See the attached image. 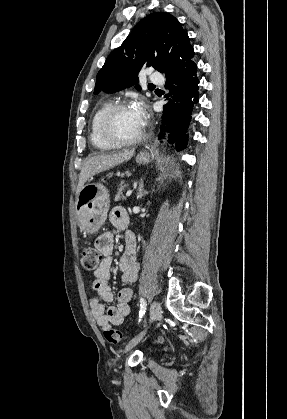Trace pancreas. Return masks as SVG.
Wrapping results in <instances>:
<instances>
[{
    "mask_svg": "<svg viewBox=\"0 0 287 419\" xmlns=\"http://www.w3.org/2000/svg\"><path fill=\"white\" fill-rule=\"evenodd\" d=\"M128 187V185L127 184H124V183H121L120 185H119V187H118V189H117V193H116V195H115V201H118V200H120V199H125V197L123 196V191H124V189L125 188H127Z\"/></svg>",
    "mask_w": 287,
    "mask_h": 419,
    "instance_id": "pancreas-1",
    "label": "pancreas"
}]
</instances>
